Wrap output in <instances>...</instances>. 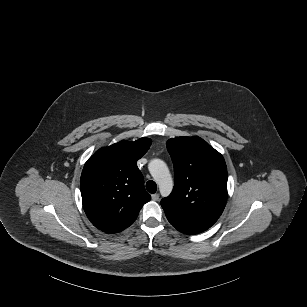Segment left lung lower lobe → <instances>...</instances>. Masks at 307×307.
<instances>
[{
	"label": "left lung lower lobe",
	"mask_w": 307,
	"mask_h": 307,
	"mask_svg": "<svg viewBox=\"0 0 307 307\" xmlns=\"http://www.w3.org/2000/svg\"><path fill=\"white\" fill-rule=\"evenodd\" d=\"M172 224V223H171ZM177 230H179L180 232H182V233H185L180 227H178V226H176V225H174V224H172ZM185 234H188V233H185ZM191 234H194V233H191Z\"/></svg>",
	"instance_id": "obj_1"
}]
</instances>
